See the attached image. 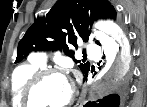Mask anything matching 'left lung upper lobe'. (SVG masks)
Instances as JSON below:
<instances>
[{"instance_id": "5c2ea615", "label": "left lung upper lobe", "mask_w": 147, "mask_h": 107, "mask_svg": "<svg viewBox=\"0 0 147 107\" xmlns=\"http://www.w3.org/2000/svg\"><path fill=\"white\" fill-rule=\"evenodd\" d=\"M117 20V12L108 0H58L46 17L37 18L18 44L15 63L24 59L31 51L59 50L71 57L85 75L90 70L89 63H81L74 58L73 47L77 40L87 42L89 26L93 21ZM100 45L99 41L95 40Z\"/></svg>"}]
</instances>
